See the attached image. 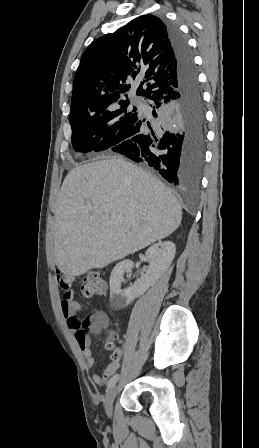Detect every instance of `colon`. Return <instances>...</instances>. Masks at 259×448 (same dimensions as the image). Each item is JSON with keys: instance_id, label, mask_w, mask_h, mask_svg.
<instances>
[{"instance_id": "1", "label": "colon", "mask_w": 259, "mask_h": 448, "mask_svg": "<svg viewBox=\"0 0 259 448\" xmlns=\"http://www.w3.org/2000/svg\"><path fill=\"white\" fill-rule=\"evenodd\" d=\"M106 284L102 276L97 271L86 273L81 283V293L85 297L99 296L105 292ZM107 323V318L102 313H94L88 316L82 323V328L92 332L102 330ZM108 348H113V344L108 342ZM117 349L114 350V352Z\"/></svg>"}]
</instances>
